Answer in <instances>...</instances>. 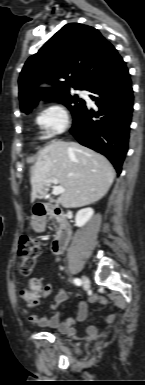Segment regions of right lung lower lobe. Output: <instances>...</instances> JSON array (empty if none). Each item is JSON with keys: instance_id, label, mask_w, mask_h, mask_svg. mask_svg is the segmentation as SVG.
I'll return each mask as SVG.
<instances>
[{"instance_id": "1", "label": "right lung lower lobe", "mask_w": 145, "mask_h": 385, "mask_svg": "<svg viewBox=\"0 0 145 385\" xmlns=\"http://www.w3.org/2000/svg\"><path fill=\"white\" fill-rule=\"evenodd\" d=\"M89 91L94 94L90 97L99 111L84 104L74 115L70 132L80 144L105 155L120 174L128 150L134 100L128 69L96 84Z\"/></svg>"}]
</instances>
